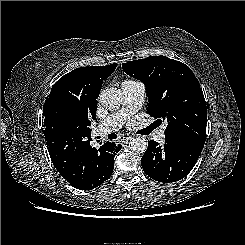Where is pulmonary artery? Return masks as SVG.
<instances>
[{
	"instance_id": "pulmonary-artery-1",
	"label": "pulmonary artery",
	"mask_w": 245,
	"mask_h": 245,
	"mask_svg": "<svg viewBox=\"0 0 245 245\" xmlns=\"http://www.w3.org/2000/svg\"><path fill=\"white\" fill-rule=\"evenodd\" d=\"M123 105L118 111L106 117L98 126V133L108 134L117 131L129 117L136 112L143 104L145 97V86L142 82L136 80H125L122 85ZM165 127L156 131L154 139L157 142H163Z\"/></svg>"
}]
</instances>
